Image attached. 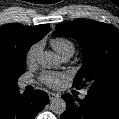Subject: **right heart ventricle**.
Returning a JSON list of instances; mask_svg holds the SVG:
<instances>
[{"label":"right heart ventricle","mask_w":119,"mask_h":119,"mask_svg":"<svg viewBox=\"0 0 119 119\" xmlns=\"http://www.w3.org/2000/svg\"><path fill=\"white\" fill-rule=\"evenodd\" d=\"M52 48L62 57L65 54H72L75 51V46L67 38L64 37H55L50 41Z\"/></svg>","instance_id":"e07e8e85"}]
</instances>
